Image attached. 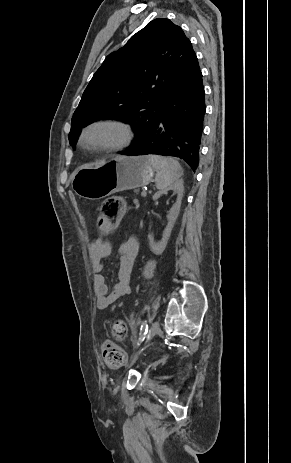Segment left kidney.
<instances>
[{
	"instance_id": "1",
	"label": "left kidney",
	"mask_w": 291,
	"mask_h": 463,
	"mask_svg": "<svg viewBox=\"0 0 291 463\" xmlns=\"http://www.w3.org/2000/svg\"><path fill=\"white\" fill-rule=\"evenodd\" d=\"M169 190H173L177 194V200L167 215L168 224L163 231L162 239L159 242H155L154 237L151 234H149L148 236L150 248L152 252L157 255L162 254L165 250L168 239L171 235V231L178 217L181 206V200L184 192L183 182L181 180L176 181L166 189L158 191L154 194L153 200H157L162 194L166 193Z\"/></svg>"
}]
</instances>
